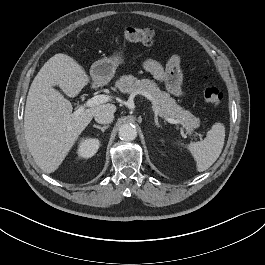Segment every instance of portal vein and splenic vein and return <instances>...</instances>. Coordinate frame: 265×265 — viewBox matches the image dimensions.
Segmentation results:
<instances>
[{"instance_id":"portal-vein-and-splenic-vein-1","label":"portal vein and splenic vein","mask_w":265,"mask_h":265,"mask_svg":"<svg viewBox=\"0 0 265 265\" xmlns=\"http://www.w3.org/2000/svg\"><path fill=\"white\" fill-rule=\"evenodd\" d=\"M110 100H111V96H109V95H103L102 94V95L94 96V97L88 99L85 102V104L77 110L76 114H80L86 107H93V106H96V105H99L102 103H106ZM165 120H167L169 123H172V124L179 123L178 120L173 119V118H169V117H165Z\"/></svg>"}]
</instances>
